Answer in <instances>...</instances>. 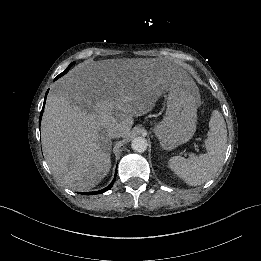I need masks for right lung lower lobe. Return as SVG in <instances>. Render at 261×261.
<instances>
[{"label": "right lung lower lobe", "mask_w": 261, "mask_h": 261, "mask_svg": "<svg viewBox=\"0 0 261 261\" xmlns=\"http://www.w3.org/2000/svg\"><path fill=\"white\" fill-rule=\"evenodd\" d=\"M47 93H48V91H47ZM47 93H46V95H47ZM45 101H46V97L44 99V104H43V108H42V111H41V114H40L39 123L41 122V117H42V114H43V111H44ZM116 174H117V172L115 173V176H116ZM114 181H115V177H114V180L111 182V184L109 186H107L106 188L99 190V191H95V192H85V193H81V194H83V195H93V194H100V193L106 192L113 186Z\"/></svg>", "instance_id": "obj_1"}]
</instances>
